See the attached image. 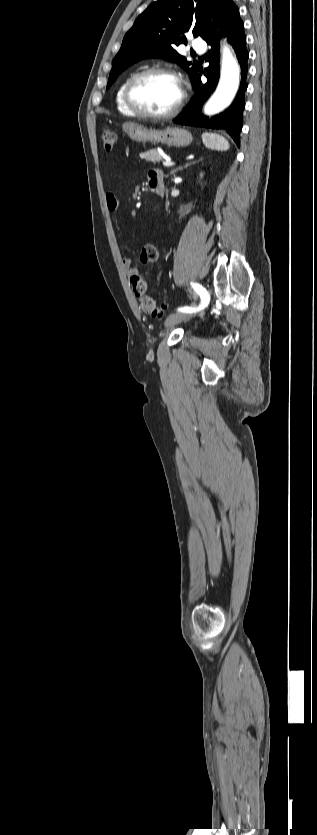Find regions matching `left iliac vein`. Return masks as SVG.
<instances>
[{"mask_svg": "<svg viewBox=\"0 0 317 835\" xmlns=\"http://www.w3.org/2000/svg\"><path fill=\"white\" fill-rule=\"evenodd\" d=\"M195 315H196V312L195 313H193V312H176V313H173L166 318V320L164 322V326L166 328H171V327L175 326L176 324H178L182 321H187V320L191 319Z\"/></svg>", "mask_w": 317, "mask_h": 835, "instance_id": "left-iliac-vein-1", "label": "left iliac vein"}]
</instances>
